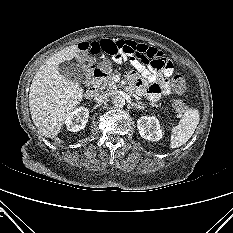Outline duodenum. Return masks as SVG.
<instances>
[{
	"label": "duodenum",
	"mask_w": 233,
	"mask_h": 233,
	"mask_svg": "<svg viewBox=\"0 0 233 233\" xmlns=\"http://www.w3.org/2000/svg\"><path fill=\"white\" fill-rule=\"evenodd\" d=\"M102 76L103 73L99 69L94 68L92 70V84L89 86V88L86 91L87 98H93L94 96H96L99 89V82Z\"/></svg>",
	"instance_id": "obj_1"
}]
</instances>
